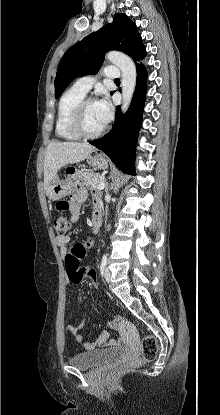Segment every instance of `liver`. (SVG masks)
<instances>
[{
	"instance_id": "liver-1",
	"label": "liver",
	"mask_w": 220,
	"mask_h": 415,
	"mask_svg": "<svg viewBox=\"0 0 220 415\" xmlns=\"http://www.w3.org/2000/svg\"><path fill=\"white\" fill-rule=\"evenodd\" d=\"M96 148L89 143L51 142L44 159V189L57 176V172L67 164L85 160Z\"/></svg>"
}]
</instances>
